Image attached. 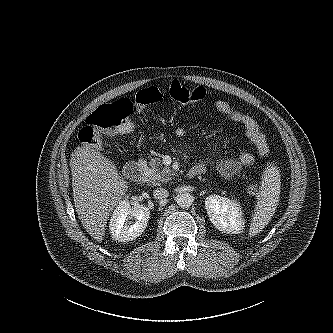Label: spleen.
<instances>
[{
	"label": "spleen",
	"mask_w": 333,
	"mask_h": 333,
	"mask_svg": "<svg viewBox=\"0 0 333 333\" xmlns=\"http://www.w3.org/2000/svg\"><path fill=\"white\" fill-rule=\"evenodd\" d=\"M280 181L281 176L278 167L267 164L256 196L257 204L249 228L250 237L260 233L274 215L279 202Z\"/></svg>",
	"instance_id": "spleen-1"
}]
</instances>
